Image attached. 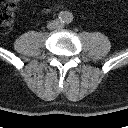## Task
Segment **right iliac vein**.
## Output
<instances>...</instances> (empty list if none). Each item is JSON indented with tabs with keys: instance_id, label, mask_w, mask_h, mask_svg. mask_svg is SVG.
Returning <instances> with one entry per match:
<instances>
[{
	"instance_id": "obj_1",
	"label": "right iliac vein",
	"mask_w": 128,
	"mask_h": 128,
	"mask_svg": "<svg viewBox=\"0 0 128 128\" xmlns=\"http://www.w3.org/2000/svg\"><path fill=\"white\" fill-rule=\"evenodd\" d=\"M50 27H53L54 26V24H51V25H49Z\"/></svg>"
}]
</instances>
